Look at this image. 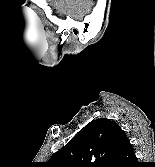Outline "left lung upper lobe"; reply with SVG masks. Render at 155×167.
I'll return each instance as SVG.
<instances>
[{
    "instance_id": "5c2ea615",
    "label": "left lung upper lobe",
    "mask_w": 155,
    "mask_h": 167,
    "mask_svg": "<svg viewBox=\"0 0 155 167\" xmlns=\"http://www.w3.org/2000/svg\"><path fill=\"white\" fill-rule=\"evenodd\" d=\"M127 139L115 122L96 119L83 127L50 160L54 167H112Z\"/></svg>"
}]
</instances>
